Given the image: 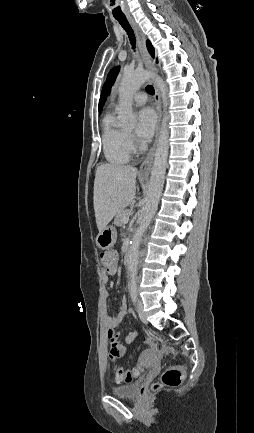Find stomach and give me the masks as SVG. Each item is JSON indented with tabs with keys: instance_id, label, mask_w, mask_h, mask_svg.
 <instances>
[{
	"instance_id": "0dacf381",
	"label": "stomach",
	"mask_w": 254,
	"mask_h": 433,
	"mask_svg": "<svg viewBox=\"0 0 254 433\" xmlns=\"http://www.w3.org/2000/svg\"><path fill=\"white\" fill-rule=\"evenodd\" d=\"M117 238L116 230L113 226H106L102 231L99 232L96 243L102 249H108L112 247Z\"/></svg>"
}]
</instances>
